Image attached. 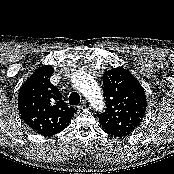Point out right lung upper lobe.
<instances>
[{
  "label": "right lung upper lobe",
  "mask_w": 174,
  "mask_h": 174,
  "mask_svg": "<svg viewBox=\"0 0 174 174\" xmlns=\"http://www.w3.org/2000/svg\"><path fill=\"white\" fill-rule=\"evenodd\" d=\"M53 72L50 65H42L26 80L18 95L22 119L44 136L64 130L75 113V109L63 101L57 87L50 83Z\"/></svg>",
  "instance_id": "right-lung-upper-lobe-1"
}]
</instances>
